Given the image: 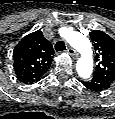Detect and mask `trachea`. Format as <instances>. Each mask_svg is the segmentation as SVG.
<instances>
[{
	"label": "trachea",
	"instance_id": "1",
	"mask_svg": "<svg viewBox=\"0 0 115 119\" xmlns=\"http://www.w3.org/2000/svg\"><path fill=\"white\" fill-rule=\"evenodd\" d=\"M55 50H56L57 52L66 50V46H65L64 41H58V42L55 44Z\"/></svg>",
	"mask_w": 115,
	"mask_h": 119
}]
</instances>
